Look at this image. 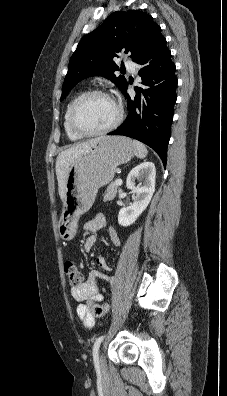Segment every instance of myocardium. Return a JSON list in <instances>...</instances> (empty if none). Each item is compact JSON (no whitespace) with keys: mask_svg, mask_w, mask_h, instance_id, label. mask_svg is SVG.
I'll list each match as a JSON object with an SVG mask.
<instances>
[{"mask_svg":"<svg viewBox=\"0 0 227 396\" xmlns=\"http://www.w3.org/2000/svg\"><path fill=\"white\" fill-rule=\"evenodd\" d=\"M94 95H99V96H103V97L110 99L115 104V106L117 108V117L107 127L100 129V130L91 131V130L84 129L79 125V123L77 121V112H78V108H79L80 104L86 98H88L90 96H94ZM123 117H124L123 107L109 93H107L106 91L100 90V89H90V90H87V91L81 93L74 100V102L71 106V109H70V113H69V123H70L72 130L75 133H77L83 137H91V136L107 134V133L113 131L121 124Z\"/></svg>","mask_w":227,"mask_h":396,"instance_id":"1","label":"myocardium"}]
</instances>
